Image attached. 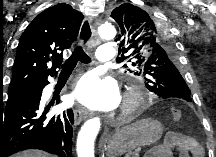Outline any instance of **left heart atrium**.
I'll list each match as a JSON object with an SVG mask.
<instances>
[{
    "instance_id": "39dd6f15",
    "label": "left heart atrium",
    "mask_w": 216,
    "mask_h": 157,
    "mask_svg": "<svg viewBox=\"0 0 216 157\" xmlns=\"http://www.w3.org/2000/svg\"><path fill=\"white\" fill-rule=\"evenodd\" d=\"M69 99L91 110H110L118 104L119 93L111 80L87 74L76 84Z\"/></svg>"
}]
</instances>
